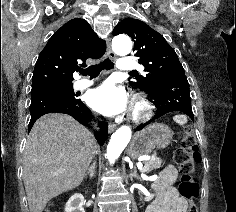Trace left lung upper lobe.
<instances>
[{
	"label": "left lung upper lobe",
	"mask_w": 236,
	"mask_h": 212,
	"mask_svg": "<svg viewBox=\"0 0 236 212\" xmlns=\"http://www.w3.org/2000/svg\"><path fill=\"white\" fill-rule=\"evenodd\" d=\"M127 34L134 41L135 56L146 72L145 76L130 82L148 94L156 92L158 87L177 76L185 75L176 52L164 37L143 21L133 18L122 20L113 30V35Z\"/></svg>",
	"instance_id": "1"
}]
</instances>
